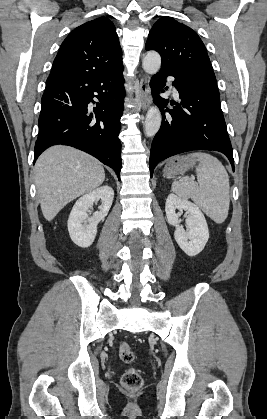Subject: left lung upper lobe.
<instances>
[{
  "mask_svg": "<svg viewBox=\"0 0 267 419\" xmlns=\"http://www.w3.org/2000/svg\"><path fill=\"white\" fill-rule=\"evenodd\" d=\"M145 48L159 52L161 68L216 82L206 48L198 34L173 18L162 17L155 22Z\"/></svg>",
  "mask_w": 267,
  "mask_h": 419,
  "instance_id": "left-lung-upper-lobe-1",
  "label": "left lung upper lobe"
}]
</instances>
